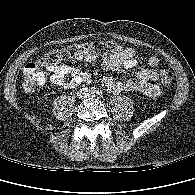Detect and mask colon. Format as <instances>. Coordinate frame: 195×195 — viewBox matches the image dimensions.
<instances>
[{
	"instance_id": "colon-1",
	"label": "colon",
	"mask_w": 195,
	"mask_h": 195,
	"mask_svg": "<svg viewBox=\"0 0 195 195\" xmlns=\"http://www.w3.org/2000/svg\"><path fill=\"white\" fill-rule=\"evenodd\" d=\"M122 47L115 41H91L83 44H74L68 47L57 49L45 54L37 62L28 63L23 69V88L27 92H32L46 81V74L41 71L42 68H49L79 55L94 54L106 55L122 51ZM174 74L165 71L161 77L163 85L172 84Z\"/></svg>"
}]
</instances>
